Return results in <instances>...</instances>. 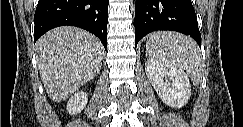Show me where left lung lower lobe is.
Wrapping results in <instances>:
<instances>
[{"mask_svg": "<svg viewBox=\"0 0 243 127\" xmlns=\"http://www.w3.org/2000/svg\"><path fill=\"white\" fill-rule=\"evenodd\" d=\"M159 30L184 33L201 46V34L191 0H136L135 46L145 35Z\"/></svg>", "mask_w": 243, "mask_h": 127, "instance_id": "1", "label": "left lung lower lobe"}]
</instances>
